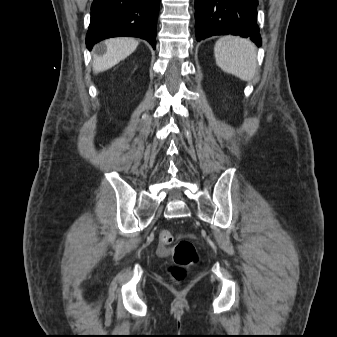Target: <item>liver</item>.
Masks as SVG:
<instances>
[{"label": "liver", "instance_id": "6515ba94", "mask_svg": "<svg viewBox=\"0 0 337 337\" xmlns=\"http://www.w3.org/2000/svg\"><path fill=\"white\" fill-rule=\"evenodd\" d=\"M139 42L130 37H118L106 40L103 45L106 49L102 56H98L93 62V71L99 73L110 69L120 61L132 54Z\"/></svg>", "mask_w": 337, "mask_h": 337}]
</instances>
